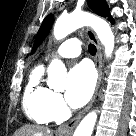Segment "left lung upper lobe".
<instances>
[{
    "label": "left lung upper lobe",
    "mask_w": 136,
    "mask_h": 136,
    "mask_svg": "<svg viewBox=\"0 0 136 136\" xmlns=\"http://www.w3.org/2000/svg\"><path fill=\"white\" fill-rule=\"evenodd\" d=\"M89 7L99 16L108 17V19L114 23L113 18L109 14V8L104 0H87ZM54 22V15L49 14L43 21L37 36L35 38V42L33 45L32 53L37 49V47L42 43L45 37L48 35L51 26Z\"/></svg>",
    "instance_id": "1"
}]
</instances>
